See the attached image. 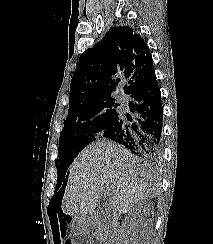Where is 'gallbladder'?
<instances>
[{"mask_svg": "<svg viewBox=\"0 0 213 244\" xmlns=\"http://www.w3.org/2000/svg\"><path fill=\"white\" fill-rule=\"evenodd\" d=\"M102 218L105 223H109V216L108 213H102Z\"/></svg>", "mask_w": 213, "mask_h": 244, "instance_id": "bac80fb5", "label": "gallbladder"}]
</instances>
